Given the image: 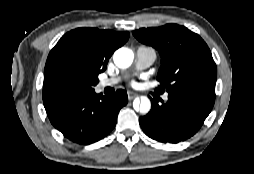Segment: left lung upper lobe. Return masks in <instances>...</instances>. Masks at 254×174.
Wrapping results in <instances>:
<instances>
[{
    "label": "left lung upper lobe",
    "instance_id": "obj_1",
    "mask_svg": "<svg viewBox=\"0 0 254 174\" xmlns=\"http://www.w3.org/2000/svg\"><path fill=\"white\" fill-rule=\"evenodd\" d=\"M142 43L156 48L161 56L157 80L160 91L194 93L215 101L217 78L212 54L196 33L184 26L167 24L133 32Z\"/></svg>",
    "mask_w": 254,
    "mask_h": 174
}]
</instances>
